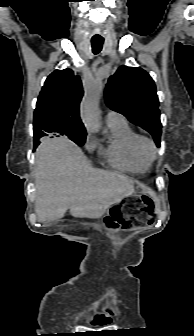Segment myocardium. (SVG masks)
<instances>
[{
  "label": "myocardium",
  "instance_id": "myocardium-1",
  "mask_svg": "<svg viewBox=\"0 0 194 336\" xmlns=\"http://www.w3.org/2000/svg\"><path fill=\"white\" fill-rule=\"evenodd\" d=\"M137 149L140 156L149 163L154 161L158 156V147L150 137L139 135Z\"/></svg>",
  "mask_w": 194,
  "mask_h": 336
}]
</instances>
